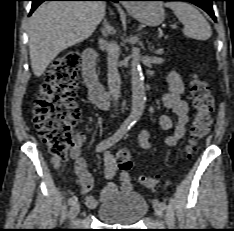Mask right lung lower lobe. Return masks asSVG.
I'll return each instance as SVG.
<instances>
[{"mask_svg":"<svg viewBox=\"0 0 234 231\" xmlns=\"http://www.w3.org/2000/svg\"><path fill=\"white\" fill-rule=\"evenodd\" d=\"M32 1V9L30 14L44 1H113L118 2L119 0H31Z\"/></svg>","mask_w":234,"mask_h":231,"instance_id":"obj_1","label":"right lung lower lobe"}]
</instances>
